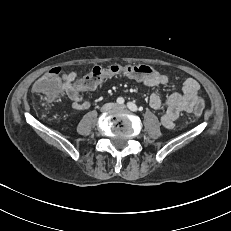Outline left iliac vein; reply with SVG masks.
<instances>
[{
	"label": "left iliac vein",
	"instance_id": "4c4485c4",
	"mask_svg": "<svg viewBox=\"0 0 231 231\" xmlns=\"http://www.w3.org/2000/svg\"><path fill=\"white\" fill-rule=\"evenodd\" d=\"M116 108L120 109V110H124V109H126V106H124V105H117Z\"/></svg>",
	"mask_w": 231,
	"mask_h": 231
}]
</instances>
